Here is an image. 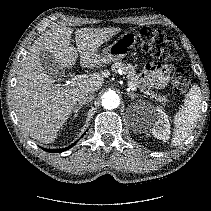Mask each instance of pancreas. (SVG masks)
I'll return each instance as SVG.
<instances>
[{
    "mask_svg": "<svg viewBox=\"0 0 211 211\" xmlns=\"http://www.w3.org/2000/svg\"><path fill=\"white\" fill-rule=\"evenodd\" d=\"M122 70L123 74L126 75V78L133 83L135 87L141 88L144 94L150 96V98H154L157 102H160L163 105H167L168 99L165 96H161L152 90H146L144 87L141 86V81L139 75L136 73L135 67L131 64L123 63L121 61L115 62L112 65V70Z\"/></svg>",
    "mask_w": 211,
    "mask_h": 211,
    "instance_id": "1",
    "label": "pancreas"
}]
</instances>
